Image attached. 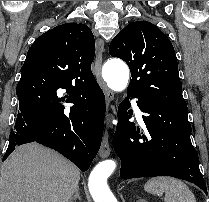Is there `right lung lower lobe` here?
Returning a JSON list of instances; mask_svg holds the SVG:
<instances>
[{"label":"right lung lower lobe","mask_w":209,"mask_h":202,"mask_svg":"<svg viewBox=\"0 0 209 202\" xmlns=\"http://www.w3.org/2000/svg\"><path fill=\"white\" fill-rule=\"evenodd\" d=\"M66 89L70 114L58 101L56 91ZM16 94L19 109L3 161L17 145L37 142L50 147L87 171L103 135L105 96L96 83L74 88L46 74L21 76Z\"/></svg>","instance_id":"obj_1"}]
</instances>
